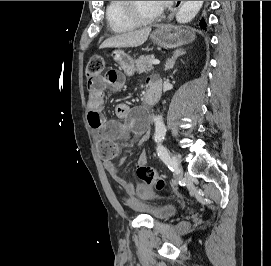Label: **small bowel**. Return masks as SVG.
I'll list each match as a JSON object with an SVG mask.
<instances>
[{
	"label": "small bowel",
	"mask_w": 271,
	"mask_h": 266,
	"mask_svg": "<svg viewBox=\"0 0 271 266\" xmlns=\"http://www.w3.org/2000/svg\"><path fill=\"white\" fill-rule=\"evenodd\" d=\"M124 75L120 68L109 67L104 74L89 77L87 119L92 129L98 133L99 150L104 160L105 168L111 178L128 195L144 199L153 197L150 185L140 183L134 186L124 180L118 171L115 161L119 152L117 142L124 140L130 133L145 135L148 131V123L138 110H133L129 105L121 103L115 108L116 116L122 121L106 120L103 116L104 91L120 90L124 85ZM156 82L150 79L149 84Z\"/></svg>",
	"instance_id": "obj_1"
}]
</instances>
